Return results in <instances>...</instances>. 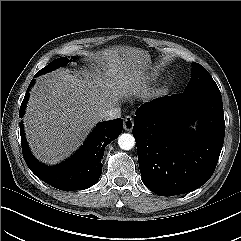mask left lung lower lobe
<instances>
[{
	"mask_svg": "<svg viewBox=\"0 0 241 241\" xmlns=\"http://www.w3.org/2000/svg\"><path fill=\"white\" fill-rule=\"evenodd\" d=\"M190 118L199 119L197 132L186 129ZM224 134L221 93L184 92L144 103L133 127L144 184L161 196L201 187L215 170Z\"/></svg>",
	"mask_w": 241,
	"mask_h": 241,
	"instance_id": "0a47b994",
	"label": "left lung lower lobe"
}]
</instances>
